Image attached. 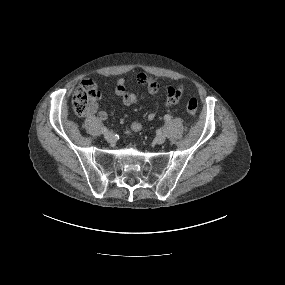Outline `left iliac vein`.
Instances as JSON below:
<instances>
[{
    "instance_id": "4c4485c4",
    "label": "left iliac vein",
    "mask_w": 285,
    "mask_h": 285,
    "mask_svg": "<svg viewBox=\"0 0 285 285\" xmlns=\"http://www.w3.org/2000/svg\"><path fill=\"white\" fill-rule=\"evenodd\" d=\"M166 141V137L163 134H159L158 136H156L155 138V142L157 144H163Z\"/></svg>"
}]
</instances>
